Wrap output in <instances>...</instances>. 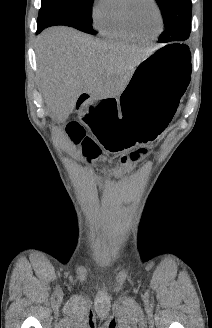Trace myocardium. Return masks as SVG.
<instances>
[{"mask_svg": "<svg viewBox=\"0 0 212 328\" xmlns=\"http://www.w3.org/2000/svg\"><path fill=\"white\" fill-rule=\"evenodd\" d=\"M126 5H125V17L127 20V23L129 24V26L131 27V29L137 33L140 34L141 29L138 27V25L136 24L134 17H133V6L135 4V2L137 0H126ZM151 2V4L154 6V8L156 9V12L158 14L159 17V28L158 30L155 32L156 34H159L162 31L163 25H164V17H163V13L162 10L157 2V0H149Z\"/></svg>", "mask_w": 212, "mask_h": 328, "instance_id": "myocardium-1", "label": "myocardium"}]
</instances>
